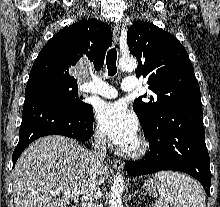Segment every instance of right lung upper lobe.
I'll return each mask as SVG.
<instances>
[{"label":"right lung upper lobe","instance_id":"cb5924a9","mask_svg":"<svg viewBox=\"0 0 220 207\" xmlns=\"http://www.w3.org/2000/svg\"><path fill=\"white\" fill-rule=\"evenodd\" d=\"M111 43L112 33L108 25L93 18L79 20L56 33L41 49L27 84L56 80L76 85L70 68L86 58L93 62L96 70H100Z\"/></svg>","mask_w":220,"mask_h":207}]
</instances>
